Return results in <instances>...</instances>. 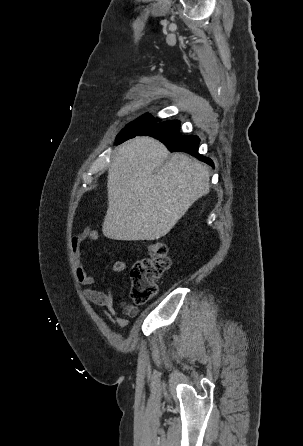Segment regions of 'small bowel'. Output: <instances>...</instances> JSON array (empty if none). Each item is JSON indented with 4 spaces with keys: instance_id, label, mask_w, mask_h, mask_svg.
<instances>
[{
    "instance_id": "small-bowel-1",
    "label": "small bowel",
    "mask_w": 303,
    "mask_h": 446,
    "mask_svg": "<svg viewBox=\"0 0 303 446\" xmlns=\"http://www.w3.org/2000/svg\"><path fill=\"white\" fill-rule=\"evenodd\" d=\"M99 240V233L97 230L90 227H84L78 234L71 239V252L73 261L74 275L83 286H93L96 283L94 276L89 275L83 264L84 250L83 246L86 242H96ZM112 269L114 272L120 273L126 269V264L123 261H115ZM83 295L90 303L106 308L103 312L105 319L112 325H117L121 329L128 326L129 319L135 318L139 313V308L135 305L122 303V314H119L115 304L112 291V284L108 283L103 290H95L86 288L83 290Z\"/></svg>"
}]
</instances>
